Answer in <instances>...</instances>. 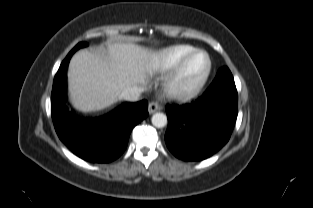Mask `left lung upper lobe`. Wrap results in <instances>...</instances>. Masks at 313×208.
<instances>
[{"label":"left lung upper lobe","mask_w":313,"mask_h":208,"mask_svg":"<svg viewBox=\"0 0 313 208\" xmlns=\"http://www.w3.org/2000/svg\"><path fill=\"white\" fill-rule=\"evenodd\" d=\"M215 78L234 82L233 76L227 67L219 69Z\"/></svg>","instance_id":"left-lung-upper-lobe-1"}]
</instances>
